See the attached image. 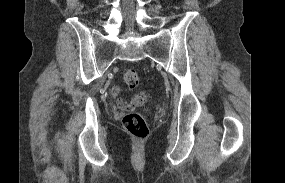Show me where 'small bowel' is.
Listing matches in <instances>:
<instances>
[{"instance_id": "small-bowel-1", "label": "small bowel", "mask_w": 285, "mask_h": 183, "mask_svg": "<svg viewBox=\"0 0 285 183\" xmlns=\"http://www.w3.org/2000/svg\"><path fill=\"white\" fill-rule=\"evenodd\" d=\"M122 92V88L120 85H113L112 88H111V94L113 95V97L117 98L118 99V104L121 106V107H124V108H128V104L127 102H125L124 100L120 99L119 96Z\"/></svg>"}]
</instances>
